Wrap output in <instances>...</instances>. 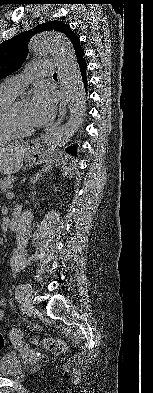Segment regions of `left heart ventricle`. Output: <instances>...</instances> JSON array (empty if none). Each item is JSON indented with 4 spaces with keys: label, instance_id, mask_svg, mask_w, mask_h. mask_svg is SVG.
I'll return each mask as SVG.
<instances>
[{
    "label": "left heart ventricle",
    "instance_id": "b2bd125f",
    "mask_svg": "<svg viewBox=\"0 0 153 393\" xmlns=\"http://www.w3.org/2000/svg\"><path fill=\"white\" fill-rule=\"evenodd\" d=\"M29 112H30L29 102L20 101L16 107V115L21 126L24 128H31L32 126L30 123Z\"/></svg>",
    "mask_w": 153,
    "mask_h": 393
}]
</instances>
